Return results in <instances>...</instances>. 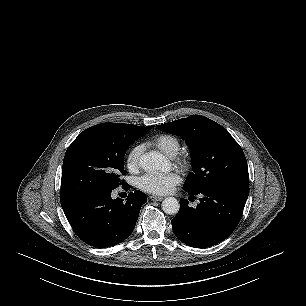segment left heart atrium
<instances>
[{"instance_id":"39dd6f15","label":"left heart atrium","mask_w":306,"mask_h":306,"mask_svg":"<svg viewBox=\"0 0 306 306\" xmlns=\"http://www.w3.org/2000/svg\"><path fill=\"white\" fill-rule=\"evenodd\" d=\"M180 181L181 178L177 172L166 174L148 173L139 178L138 186L145 192L163 195L171 192Z\"/></svg>"}]
</instances>
